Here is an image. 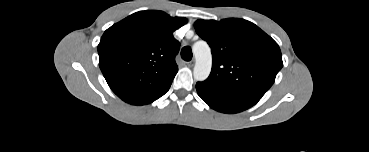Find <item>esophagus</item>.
<instances>
[{
    "instance_id": "esophagus-1",
    "label": "esophagus",
    "mask_w": 369,
    "mask_h": 152,
    "mask_svg": "<svg viewBox=\"0 0 369 152\" xmlns=\"http://www.w3.org/2000/svg\"><path fill=\"white\" fill-rule=\"evenodd\" d=\"M195 65V60L193 59V60H191V61H189V62H187V66L188 67H193Z\"/></svg>"
}]
</instances>
